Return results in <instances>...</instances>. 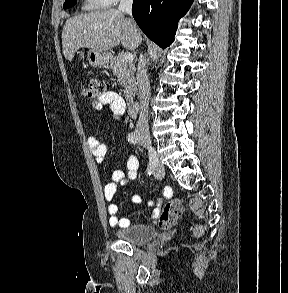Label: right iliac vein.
<instances>
[{"mask_svg":"<svg viewBox=\"0 0 288 293\" xmlns=\"http://www.w3.org/2000/svg\"><path fill=\"white\" fill-rule=\"evenodd\" d=\"M142 143L144 144V146L148 149L149 147H153L152 144H151V141L149 139H146V138H142L141 139ZM149 153V151H148ZM155 156H158L156 151H155ZM149 157H150V153H149ZM153 173L155 175V177L157 179H163L164 176H165V168L163 166V164H159V167L157 170H153Z\"/></svg>","mask_w":288,"mask_h":293,"instance_id":"obj_1","label":"right iliac vein"}]
</instances>
